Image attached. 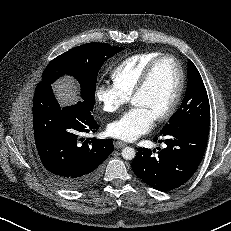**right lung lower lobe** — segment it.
Segmentation results:
<instances>
[{
    "label": "right lung lower lobe",
    "instance_id": "1",
    "mask_svg": "<svg viewBox=\"0 0 231 231\" xmlns=\"http://www.w3.org/2000/svg\"><path fill=\"white\" fill-rule=\"evenodd\" d=\"M33 128L38 154L50 179L67 190L95 182L114 150L111 139H84L99 125L83 101L60 107L50 83H38L33 98Z\"/></svg>",
    "mask_w": 231,
    "mask_h": 231
}]
</instances>
